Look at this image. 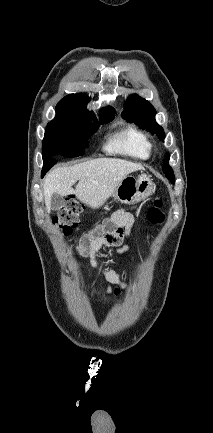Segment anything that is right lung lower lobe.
<instances>
[{
  "instance_id": "right-lung-lower-lobe-1",
  "label": "right lung lower lobe",
  "mask_w": 213,
  "mask_h": 433,
  "mask_svg": "<svg viewBox=\"0 0 213 433\" xmlns=\"http://www.w3.org/2000/svg\"><path fill=\"white\" fill-rule=\"evenodd\" d=\"M43 161H44V166L42 169L41 177H43L46 174V172L56 163L55 157Z\"/></svg>"
}]
</instances>
